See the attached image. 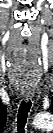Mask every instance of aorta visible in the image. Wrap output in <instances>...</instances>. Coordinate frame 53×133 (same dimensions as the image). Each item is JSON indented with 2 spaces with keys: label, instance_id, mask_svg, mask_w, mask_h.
Listing matches in <instances>:
<instances>
[{
  "label": "aorta",
  "instance_id": "obj_1",
  "mask_svg": "<svg viewBox=\"0 0 53 133\" xmlns=\"http://www.w3.org/2000/svg\"><path fill=\"white\" fill-rule=\"evenodd\" d=\"M34 124L40 128H48L52 125V116L49 113H43L38 115L35 120Z\"/></svg>",
  "mask_w": 53,
  "mask_h": 133
}]
</instances>
